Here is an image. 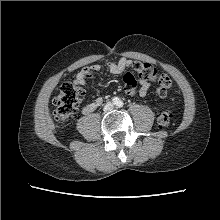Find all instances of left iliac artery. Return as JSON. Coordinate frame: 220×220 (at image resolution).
I'll return each mask as SVG.
<instances>
[{
  "label": "left iliac artery",
  "instance_id": "left-iliac-artery-1",
  "mask_svg": "<svg viewBox=\"0 0 220 220\" xmlns=\"http://www.w3.org/2000/svg\"><path fill=\"white\" fill-rule=\"evenodd\" d=\"M118 106H119V107H122V106H123V102H122V101H119V102H118Z\"/></svg>",
  "mask_w": 220,
  "mask_h": 220
}]
</instances>
